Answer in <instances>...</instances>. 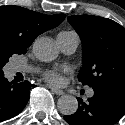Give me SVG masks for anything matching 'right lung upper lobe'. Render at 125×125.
Returning <instances> with one entry per match:
<instances>
[{
    "instance_id": "obj_1",
    "label": "right lung upper lobe",
    "mask_w": 125,
    "mask_h": 125,
    "mask_svg": "<svg viewBox=\"0 0 125 125\" xmlns=\"http://www.w3.org/2000/svg\"><path fill=\"white\" fill-rule=\"evenodd\" d=\"M65 14L44 15L19 6H0V54H25L35 38L58 26Z\"/></svg>"
}]
</instances>
